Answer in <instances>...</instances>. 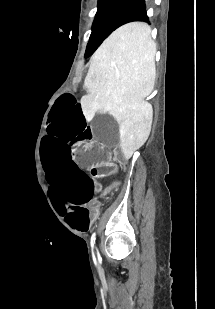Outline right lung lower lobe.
Returning <instances> with one entry per match:
<instances>
[{
  "label": "right lung lower lobe",
  "instance_id": "98d812e1",
  "mask_svg": "<svg viewBox=\"0 0 215 309\" xmlns=\"http://www.w3.org/2000/svg\"><path fill=\"white\" fill-rule=\"evenodd\" d=\"M132 21L149 23V18L145 10V0H133L119 20L118 27Z\"/></svg>",
  "mask_w": 215,
  "mask_h": 309
}]
</instances>
